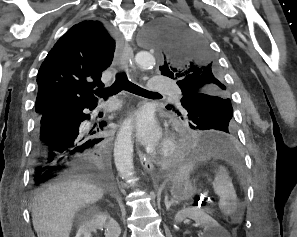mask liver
I'll return each mask as SVG.
<instances>
[{"label": "liver", "instance_id": "obj_1", "mask_svg": "<svg viewBox=\"0 0 297 237\" xmlns=\"http://www.w3.org/2000/svg\"><path fill=\"white\" fill-rule=\"evenodd\" d=\"M103 193L90 177L79 175L36 192L31 215L37 237H69L77 211L99 201Z\"/></svg>", "mask_w": 297, "mask_h": 237}]
</instances>
